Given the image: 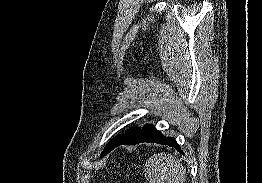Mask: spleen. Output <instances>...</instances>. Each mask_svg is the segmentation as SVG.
I'll return each mask as SVG.
<instances>
[{"label":"spleen","mask_w":262,"mask_h":183,"mask_svg":"<svg viewBox=\"0 0 262 183\" xmlns=\"http://www.w3.org/2000/svg\"><path fill=\"white\" fill-rule=\"evenodd\" d=\"M145 177L150 183H184L186 170L174 156L161 152L146 162Z\"/></svg>","instance_id":"obj_1"}]
</instances>
